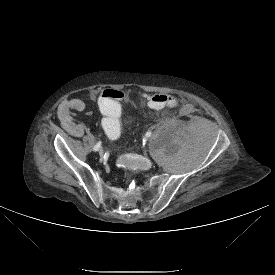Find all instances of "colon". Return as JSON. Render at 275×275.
Here are the masks:
<instances>
[{"label":"colon","mask_w":275,"mask_h":275,"mask_svg":"<svg viewBox=\"0 0 275 275\" xmlns=\"http://www.w3.org/2000/svg\"><path fill=\"white\" fill-rule=\"evenodd\" d=\"M125 94L119 90L108 89L97 95L96 102L100 113L104 116L101 120V129L108 138L114 139L120 135L121 129L117 119L119 104ZM147 104L152 109L173 108L177 105L178 99L169 94H152L147 98Z\"/></svg>","instance_id":"obj_1"}]
</instances>
